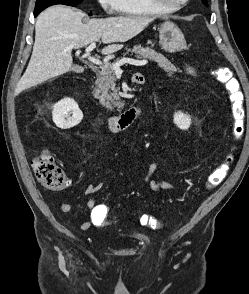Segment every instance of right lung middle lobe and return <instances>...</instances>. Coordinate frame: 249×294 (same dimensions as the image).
Listing matches in <instances>:
<instances>
[{"mask_svg":"<svg viewBox=\"0 0 249 294\" xmlns=\"http://www.w3.org/2000/svg\"><path fill=\"white\" fill-rule=\"evenodd\" d=\"M82 1L83 0H37L35 10H44L45 8L55 4L76 6Z\"/></svg>","mask_w":249,"mask_h":294,"instance_id":"obj_1","label":"right lung middle lobe"}]
</instances>
